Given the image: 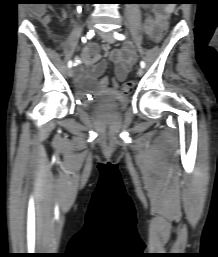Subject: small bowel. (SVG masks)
Here are the masks:
<instances>
[{"instance_id": "obj_1", "label": "small bowel", "mask_w": 218, "mask_h": 257, "mask_svg": "<svg viewBox=\"0 0 218 257\" xmlns=\"http://www.w3.org/2000/svg\"><path fill=\"white\" fill-rule=\"evenodd\" d=\"M172 11V7L165 8H152L142 22V28L151 39H154L155 31L159 26H164V21H168L169 14ZM67 14H64L66 19ZM157 40V39H155ZM105 51H108V47H105ZM101 54L99 46L95 42L87 43L78 58H76L75 64L77 66L76 78L77 83L86 85L95 93L103 92L99 90L97 83V75L103 74L107 67L106 61H100ZM110 60L115 65V75L119 82L126 79L132 65L135 62V53L133 46L127 44L123 49L113 50L110 52Z\"/></svg>"}]
</instances>
